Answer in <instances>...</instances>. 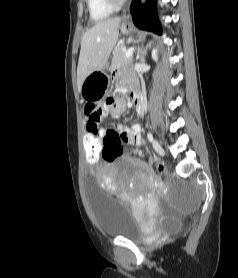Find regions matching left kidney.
I'll list each match as a JSON object with an SVG mask.
<instances>
[{"label": "left kidney", "instance_id": "5707ae66", "mask_svg": "<svg viewBox=\"0 0 238 278\" xmlns=\"http://www.w3.org/2000/svg\"><path fill=\"white\" fill-rule=\"evenodd\" d=\"M156 50L155 49H153V51H152V58L156 61L157 60V57H156Z\"/></svg>", "mask_w": 238, "mask_h": 278}]
</instances>
